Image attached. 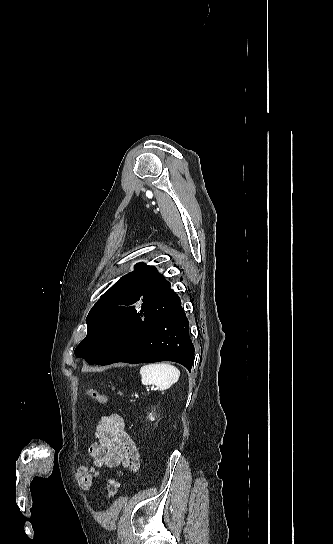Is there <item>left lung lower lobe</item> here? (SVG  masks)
Returning <instances> with one entry per match:
<instances>
[{"label": "left lung lower lobe", "instance_id": "left-lung-lower-lobe-1", "mask_svg": "<svg viewBox=\"0 0 333 544\" xmlns=\"http://www.w3.org/2000/svg\"><path fill=\"white\" fill-rule=\"evenodd\" d=\"M94 339L98 341L101 337L94 335ZM126 340L121 355L116 356L114 352L103 349L97 364L174 361L190 370L194 362L195 349L189 336V320L180 299L155 321L135 324Z\"/></svg>", "mask_w": 333, "mask_h": 544}]
</instances>
